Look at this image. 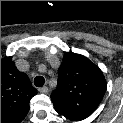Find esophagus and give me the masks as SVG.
<instances>
[{
    "mask_svg": "<svg viewBox=\"0 0 123 123\" xmlns=\"http://www.w3.org/2000/svg\"><path fill=\"white\" fill-rule=\"evenodd\" d=\"M39 91H40L41 93H48L49 88H48L47 86H44V87H42L41 89H39Z\"/></svg>",
    "mask_w": 123,
    "mask_h": 123,
    "instance_id": "1",
    "label": "esophagus"
}]
</instances>
